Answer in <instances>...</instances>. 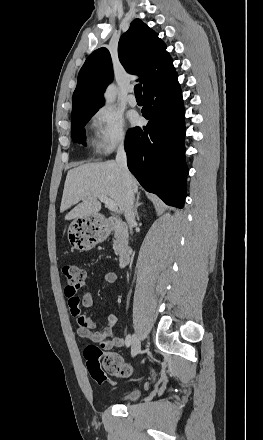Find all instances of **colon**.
Masks as SVG:
<instances>
[{"label": "colon", "mask_w": 263, "mask_h": 440, "mask_svg": "<svg viewBox=\"0 0 263 440\" xmlns=\"http://www.w3.org/2000/svg\"><path fill=\"white\" fill-rule=\"evenodd\" d=\"M63 274L68 286L79 287L85 281L86 274L82 267L75 264L63 266ZM86 367L91 378L98 384L109 381L107 374L125 378L132 373L131 366L117 353H103L95 346L89 345L84 350Z\"/></svg>", "instance_id": "colon-1"}]
</instances>
